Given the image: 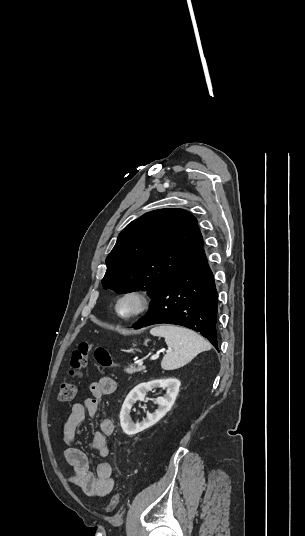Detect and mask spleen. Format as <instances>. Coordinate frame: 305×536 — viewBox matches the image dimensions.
Returning <instances> with one entry per match:
<instances>
[{
  "label": "spleen",
  "instance_id": "spleen-1",
  "mask_svg": "<svg viewBox=\"0 0 305 536\" xmlns=\"http://www.w3.org/2000/svg\"><path fill=\"white\" fill-rule=\"evenodd\" d=\"M150 334L165 338L168 348H173V352L165 354L161 362L163 370L183 368L200 352L211 350V344L207 340L187 328H179L171 324H157L156 328L150 330Z\"/></svg>",
  "mask_w": 305,
  "mask_h": 536
}]
</instances>
